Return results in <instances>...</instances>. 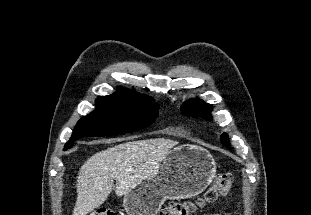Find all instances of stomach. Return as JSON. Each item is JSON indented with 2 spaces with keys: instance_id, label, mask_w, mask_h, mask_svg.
I'll use <instances>...</instances> for the list:
<instances>
[{
  "instance_id": "obj_1",
  "label": "stomach",
  "mask_w": 311,
  "mask_h": 215,
  "mask_svg": "<svg viewBox=\"0 0 311 215\" xmlns=\"http://www.w3.org/2000/svg\"><path fill=\"white\" fill-rule=\"evenodd\" d=\"M216 174L205 148L184 144L171 150L159 166L123 198L128 215H156L167 199L198 196Z\"/></svg>"
}]
</instances>
